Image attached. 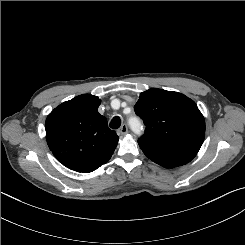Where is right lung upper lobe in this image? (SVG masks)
<instances>
[{
  "mask_svg": "<svg viewBox=\"0 0 245 245\" xmlns=\"http://www.w3.org/2000/svg\"><path fill=\"white\" fill-rule=\"evenodd\" d=\"M101 100L82 94L56 107L45 122L46 140L64 166L88 173L112 156L118 136L98 113Z\"/></svg>",
  "mask_w": 245,
  "mask_h": 245,
  "instance_id": "cb5924a9",
  "label": "right lung upper lobe"
}]
</instances>
